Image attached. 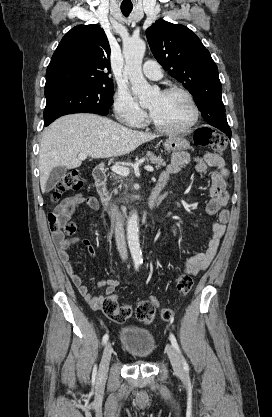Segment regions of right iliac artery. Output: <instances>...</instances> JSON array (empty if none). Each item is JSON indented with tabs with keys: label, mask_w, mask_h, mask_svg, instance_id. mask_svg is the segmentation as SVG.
<instances>
[{
	"label": "right iliac artery",
	"mask_w": 272,
	"mask_h": 417,
	"mask_svg": "<svg viewBox=\"0 0 272 417\" xmlns=\"http://www.w3.org/2000/svg\"><path fill=\"white\" fill-rule=\"evenodd\" d=\"M138 268H139V263H136L135 264V269L138 270ZM108 338H109L108 334H105L103 336L102 343L105 344L107 342Z\"/></svg>",
	"instance_id": "82829eb1"
}]
</instances>
